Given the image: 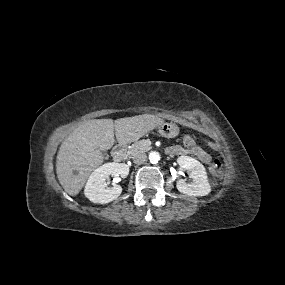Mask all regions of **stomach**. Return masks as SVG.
Masks as SVG:
<instances>
[{"label": "stomach", "mask_w": 285, "mask_h": 285, "mask_svg": "<svg viewBox=\"0 0 285 285\" xmlns=\"http://www.w3.org/2000/svg\"><path fill=\"white\" fill-rule=\"evenodd\" d=\"M159 133L165 137H174L178 134L179 128L175 123H163L158 128Z\"/></svg>", "instance_id": "obj_1"}]
</instances>
